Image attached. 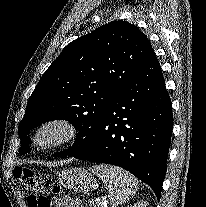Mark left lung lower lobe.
Here are the masks:
<instances>
[{
  "label": "left lung lower lobe",
  "instance_id": "1",
  "mask_svg": "<svg viewBox=\"0 0 206 207\" xmlns=\"http://www.w3.org/2000/svg\"><path fill=\"white\" fill-rule=\"evenodd\" d=\"M172 127L171 100L153 54L109 104L92 143L70 156L122 167L160 200Z\"/></svg>",
  "mask_w": 206,
  "mask_h": 207
}]
</instances>
